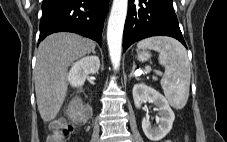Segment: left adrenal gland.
<instances>
[{"mask_svg": "<svg viewBox=\"0 0 227 142\" xmlns=\"http://www.w3.org/2000/svg\"><path fill=\"white\" fill-rule=\"evenodd\" d=\"M135 68H136L135 62H133V66H132V70H131V72H130L129 78L134 77V78H136L137 80H139V77L134 73Z\"/></svg>", "mask_w": 227, "mask_h": 142, "instance_id": "obj_1", "label": "left adrenal gland"}]
</instances>
